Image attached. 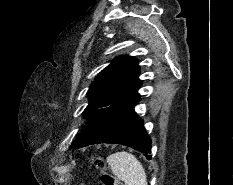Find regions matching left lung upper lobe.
<instances>
[{
	"mask_svg": "<svg viewBox=\"0 0 233 185\" xmlns=\"http://www.w3.org/2000/svg\"><path fill=\"white\" fill-rule=\"evenodd\" d=\"M139 72L134 57L120 56L98 74L88 90L90 103L83 112L86 128L93 126L118 97L140 82Z\"/></svg>",
	"mask_w": 233,
	"mask_h": 185,
	"instance_id": "obj_1",
	"label": "left lung upper lobe"
}]
</instances>
